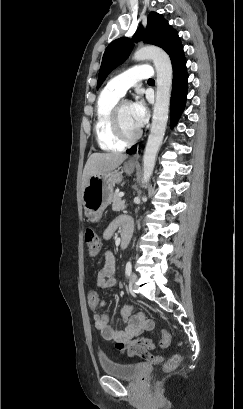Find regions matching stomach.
I'll list each match as a JSON object with an SVG mask.
<instances>
[{
    "mask_svg": "<svg viewBox=\"0 0 243 409\" xmlns=\"http://www.w3.org/2000/svg\"><path fill=\"white\" fill-rule=\"evenodd\" d=\"M136 165L127 162L122 171L113 170L92 176L82 192L85 214L89 221L98 222L103 211L111 204L115 184L122 181V173H133Z\"/></svg>",
    "mask_w": 243,
    "mask_h": 409,
    "instance_id": "1",
    "label": "stomach"
}]
</instances>
